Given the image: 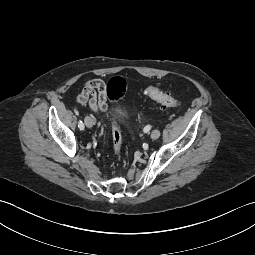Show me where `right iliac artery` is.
<instances>
[{
	"instance_id": "obj_1",
	"label": "right iliac artery",
	"mask_w": 255,
	"mask_h": 255,
	"mask_svg": "<svg viewBox=\"0 0 255 255\" xmlns=\"http://www.w3.org/2000/svg\"><path fill=\"white\" fill-rule=\"evenodd\" d=\"M78 127H79L80 130H84V124H83L82 121H79Z\"/></svg>"
}]
</instances>
